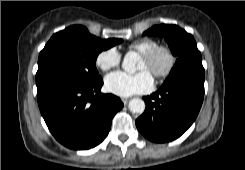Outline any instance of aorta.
<instances>
[{
    "instance_id": "obj_1",
    "label": "aorta",
    "mask_w": 245,
    "mask_h": 170,
    "mask_svg": "<svg viewBox=\"0 0 245 170\" xmlns=\"http://www.w3.org/2000/svg\"><path fill=\"white\" fill-rule=\"evenodd\" d=\"M137 60L136 53H127L123 59L122 68L130 74L135 73ZM128 107L132 113L142 114L145 110V102L142 99L134 98L130 100Z\"/></svg>"
}]
</instances>
